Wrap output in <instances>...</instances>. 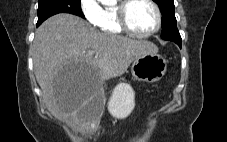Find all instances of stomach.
Instances as JSON below:
<instances>
[{
	"label": "stomach",
	"instance_id": "0dacf381",
	"mask_svg": "<svg viewBox=\"0 0 227 142\" xmlns=\"http://www.w3.org/2000/svg\"><path fill=\"white\" fill-rule=\"evenodd\" d=\"M167 70V61L157 53H148L133 60L132 76L148 83L159 81ZM135 105V93L128 83L118 84L109 99L108 108L111 114L118 118H126Z\"/></svg>",
	"mask_w": 227,
	"mask_h": 142
}]
</instances>
